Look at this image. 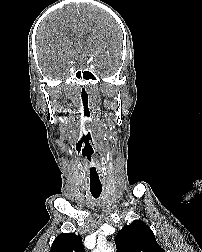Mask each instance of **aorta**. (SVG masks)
<instances>
[{"instance_id":"aorta-1","label":"aorta","mask_w":202,"mask_h":252,"mask_svg":"<svg viewBox=\"0 0 202 252\" xmlns=\"http://www.w3.org/2000/svg\"><path fill=\"white\" fill-rule=\"evenodd\" d=\"M92 252H114V249L105 243H99Z\"/></svg>"}]
</instances>
